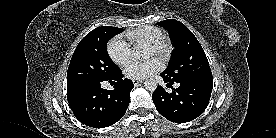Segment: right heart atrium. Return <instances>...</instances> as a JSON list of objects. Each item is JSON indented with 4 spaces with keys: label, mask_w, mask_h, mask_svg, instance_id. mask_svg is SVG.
Masks as SVG:
<instances>
[{
    "label": "right heart atrium",
    "mask_w": 276,
    "mask_h": 138,
    "mask_svg": "<svg viewBox=\"0 0 276 138\" xmlns=\"http://www.w3.org/2000/svg\"><path fill=\"white\" fill-rule=\"evenodd\" d=\"M107 52L110 58L120 66H124L132 56L131 45L120 35L109 41Z\"/></svg>",
    "instance_id": "right-heart-atrium-1"
}]
</instances>
